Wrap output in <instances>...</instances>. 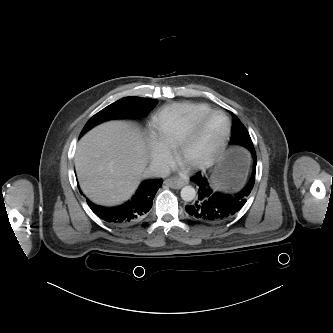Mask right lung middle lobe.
Masks as SVG:
<instances>
[{
    "mask_svg": "<svg viewBox=\"0 0 333 333\" xmlns=\"http://www.w3.org/2000/svg\"><path fill=\"white\" fill-rule=\"evenodd\" d=\"M157 100L140 97H125L95 114L85 125L80 136L93 126L110 119L144 117L156 106Z\"/></svg>",
    "mask_w": 333,
    "mask_h": 333,
    "instance_id": "1",
    "label": "right lung middle lobe"
}]
</instances>
